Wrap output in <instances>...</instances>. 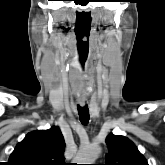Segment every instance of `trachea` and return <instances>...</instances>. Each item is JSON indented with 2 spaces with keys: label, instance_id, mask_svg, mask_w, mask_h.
<instances>
[{
  "label": "trachea",
  "instance_id": "trachea-1",
  "mask_svg": "<svg viewBox=\"0 0 165 165\" xmlns=\"http://www.w3.org/2000/svg\"><path fill=\"white\" fill-rule=\"evenodd\" d=\"M78 114L80 121L83 125H87L89 122V109L88 106L85 104L84 106H77Z\"/></svg>",
  "mask_w": 165,
  "mask_h": 165
}]
</instances>
